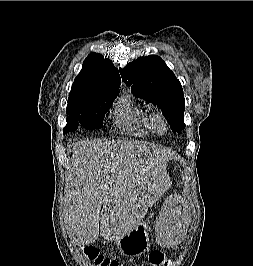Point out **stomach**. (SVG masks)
I'll return each mask as SVG.
<instances>
[{
  "label": "stomach",
  "instance_id": "1",
  "mask_svg": "<svg viewBox=\"0 0 253 266\" xmlns=\"http://www.w3.org/2000/svg\"><path fill=\"white\" fill-rule=\"evenodd\" d=\"M115 243L124 256L139 257L149 249V229L146 225L138 226Z\"/></svg>",
  "mask_w": 253,
  "mask_h": 266
}]
</instances>
